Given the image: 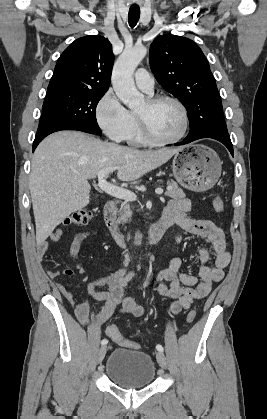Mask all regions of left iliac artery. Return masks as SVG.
Wrapping results in <instances>:
<instances>
[{
  "label": "left iliac artery",
  "mask_w": 267,
  "mask_h": 419,
  "mask_svg": "<svg viewBox=\"0 0 267 419\" xmlns=\"http://www.w3.org/2000/svg\"><path fill=\"white\" fill-rule=\"evenodd\" d=\"M156 349H157L158 351H160V352H163V351H164L163 346H162V345H160V344H158V345L156 346Z\"/></svg>",
  "instance_id": "left-iliac-artery-1"
}]
</instances>
